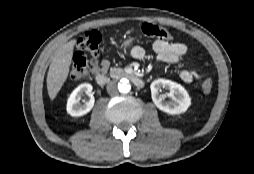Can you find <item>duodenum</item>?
Here are the masks:
<instances>
[{
	"instance_id": "duodenum-1",
	"label": "duodenum",
	"mask_w": 254,
	"mask_h": 174,
	"mask_svg": "<svg viewBox=\"0 0 254 174\" xmlns=\"http://www.w3.org/2000/svg\"><path fill=\"white\" fill-rule=\"evenodd\" d=\"M122 76L130 79L131 82L137 87H143L144 86V80L141 79L140 77L136 76L135 74L131 73V72H123ZM95 80H96L98 85L104 86L109 82V76L104 74V73H98L95 76Z\"/></svg>"
}]
</instances>
